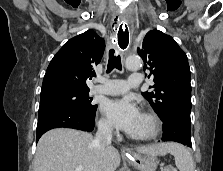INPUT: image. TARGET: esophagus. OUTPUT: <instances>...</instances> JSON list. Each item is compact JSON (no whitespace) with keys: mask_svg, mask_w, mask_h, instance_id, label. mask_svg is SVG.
<instances>
[{"mask_svg":"<svg viewBox=\"0 0 223 171\" xmlns=\"http://www.w3.org/2000/svg\"><path fill=\"white\" fill-rule=\"evenodd\" d=\"M116 35L120 47L122 49H125L128 43L130 42V39H132L130 21H126L125 17H122L121 21H119V26L117 27ZM122 151L124 153L130 152L128 148H123Z\"/></svg>","mask_w":223,"mask_h":171,"instance_id":"34e87169","label":"esophagus"}]
</instances>
